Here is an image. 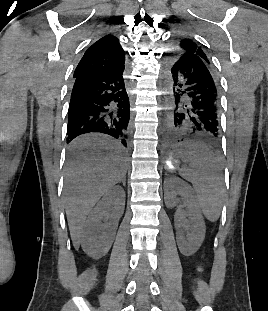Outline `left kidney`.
Listing matches in <instances>:
<instances>
[{"instance_id":"obj_1","label":"left kidney","mask_w":268,"mask_h":311,"mask_svg":"<svg viewBox=\"0 0 268 311\" xmlns=\"http://www.w3.org/2000/svg\"><path fill=\"white\" fill-rule=\"evenodd\" d=\"M165 204L169 208H174L183 204L186 210H181L174 217L176 228V240L180 252L185 256H191L202 245L205 238V223L201 215L199 206L193 189L178 177H169L164 181ZM190 232L185 235L184 230Z\"/></svg>"}]
</instances>
